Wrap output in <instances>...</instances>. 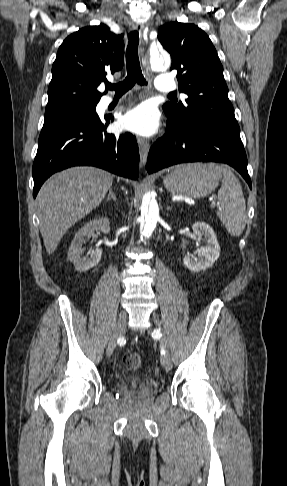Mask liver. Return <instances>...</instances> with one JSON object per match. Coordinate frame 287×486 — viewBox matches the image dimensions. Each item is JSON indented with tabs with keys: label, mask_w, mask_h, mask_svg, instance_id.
I'll use <instances>...</instances> for the list:
<instances>
[{
	"label": "liver",
	"mask_w": 287,
	"mask_h": 486,
	"mask_svg": "<svg viewBox=\"0 0 287 486\" xmlns=\"http://www.w3.org/2000/svg\"><path fill=\"white\" fill-rule=\"evenodd\" d=\"M112 182L113 176L109 172L82 166L59 172L43 184L36 205L48 254L54 253L72 225L101 203Z\"/></svg>",
	"instance_id": "liver-1"
}]
</instances>
